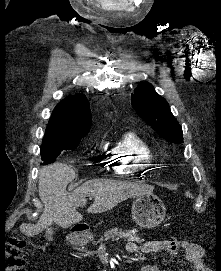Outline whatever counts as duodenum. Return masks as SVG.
<instances>
[{
  "instance_id": "1",
  "label": "duodenum",
  "mask_w": 221,
  "mask_h": 271,
  "mask_svg": "<svg viewBox=\"0 0 221 271\" xmlns=\"http://www.w3.org/2000/svg\"><path fill=\"white\" fill-rule=\"evenodd\" d=\"M88 242V235L85 230H76L70 237V243L74 246H81Z\"/></svg>"
}]
</instances>
